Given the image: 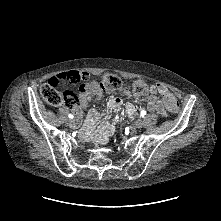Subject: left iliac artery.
Wrapping results in <instances>:
<instances>
[{
    "mask_svg": "<svg viewBox=\"0 0 221 221\" xmlns=\"http://www.w3.org/2000/svg\"><path fill=\"white\" fill-rule=\"evenodd\" d=\"M145 115H146V111L142 110V111L140 112V116L144 117Z\"/></svg>",
    "mask_w": 221,
    "mask_h": 221,
    "instance_id": "obj_1",
    "label": "left iliac artery"
}]
</instances>
